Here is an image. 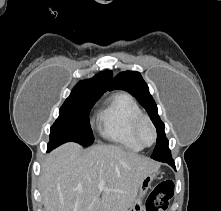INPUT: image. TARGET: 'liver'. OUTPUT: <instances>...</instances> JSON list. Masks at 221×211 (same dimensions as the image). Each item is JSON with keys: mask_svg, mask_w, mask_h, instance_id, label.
<instances>
[{"mask_svg": "<svg viewBox=\"0 0 221 211\" xmlns=\"http://www.w3.org/2000/svg\"><path fill=\"white\" fill-rule=\"evenodd\" d=\"M158 165L115 145L84 150L66 143L41 165L40 190L45 211H128L141 179ZM105 181V189L98 184Z\"/></svg>", "mask_w": 221, "mask_h": 211, "instance_id": "liver-1", "label": "liver"}]
</instances>
